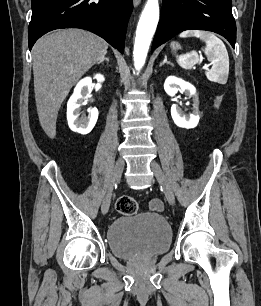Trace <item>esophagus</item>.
<instances>
[{
    "instance_id": "esophagus-1",
    "label": "esophagus",
    "mask_w": 261,
    "mask_h": 306,
    "mask_svg": "<svg viewBox=\"0 0 261 306\" xmlns=\"http://www.w3.org/2000/svg\"><path fill=\"white\" fill-rule=\"evenodd\" d=\"M141 0H133L134 6L137 7L140 4Z\"/></svg>"
}]
</instances>
